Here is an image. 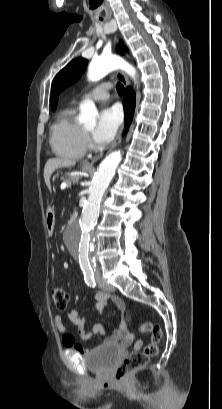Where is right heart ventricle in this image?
I'll list each match as a JSON object with an SVG mask.
<instances>
[{
  "label": "right heart ventricle",
  "instance_id": "e07e8e85",
  "mask_svg": "<svg viewBox=\"0 0 222 409\" xmlns=\"http://www.w3.org/2000/svg\"><path fill=\"white\" fill-rule=\"evenodd\" d=\"M50 143L53 151L65 159H78L85 153L82 126L76 120L73 106L64 108L51 127Z\"/></svg>",
  "mask_w": 222,
  "mask_h": 409
}]
</instances>
